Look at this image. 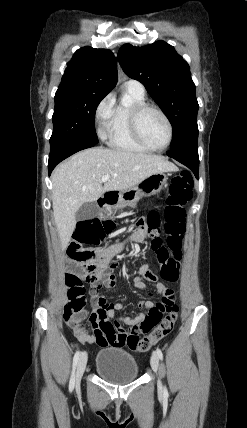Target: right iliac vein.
<instances>
[{
	"instance_id": "63e3f726",
	"label": "right iliac vein",
	"mask_w": 247,
	"mask_h": 428,
	"mask_svg": "<svg viewBox=\"0 0 247 428\" xmlns=\"http://www.w3.org/2000/svg\"><path fill=\"white\" fill-rule=\"evenodd\" d=\"M87 353L83 352L79 358L76 372V387L80 385L87 364Z\"/></svg>"
}]
</instances>
